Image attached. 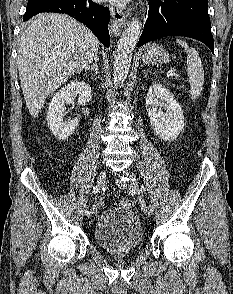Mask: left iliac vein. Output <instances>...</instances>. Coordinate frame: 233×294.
<instances>
[{"instance_id": "obj_1", "label": "left iliac vein", "mask_w": 233, "mask_h": 294, "mask_svg": "<svg viewBox=\"0 0 233 294\" xmlns=\"http://www.w3.org/2000/svg\"><path fill=\"white\" fill-rule=\"evenodd\" d=\"M125 174L129 175L128 173H125ZM116 183H117L118 187L121 188V189H125L127 187L126 182L123 179L119 178V177L116 179ZM130 185H131V187L133 188V190L135 192H138V183H137V180L134 177L131 178ZM139 205H140V208H141V212H145L146 215H148V216L151 215L152 212H150L148 210V207H147L145 201H140Z\"/></svg>"}]
</instances>
